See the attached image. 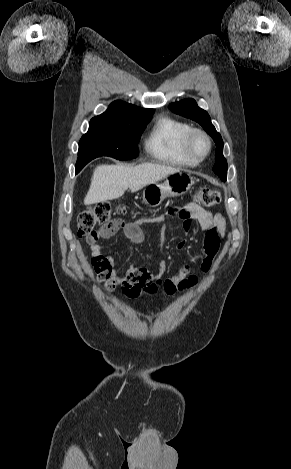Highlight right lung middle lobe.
<instances>
[{"instance_id":"obj_1","label":"right lung middle lobe","mask_w":291,"mask_h":469,"mask_svg":"<svg viewBox=\"0 0 291 469\" xmlns=\"http://www.w3.org/2000/svg\"><path fill=\"white\" fill-rule=\"evenodd\" d=\"M152 116L133 120L91 119L79 142L76 173L96 157L130 160L138 156V139Z\"/></svg>"}]
</instances>
